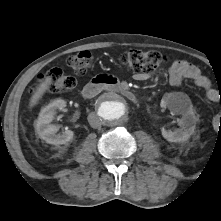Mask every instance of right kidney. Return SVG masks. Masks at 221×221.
<instances>
[{"label":"right kidney","instance_id":"1","mask_svg":"<svg viewBox=\"0 0 221 221\" xmlns=\"http://www.w3.org/2000/svg\"><path fill=\"white\" fill-rule=\"evenodd\" d=\"M66 102L62 99H56L46 107L41 109L39 117L35 122V131L38 136L49 144L62 145L71 141L74 137V132L66 130L63 134H56L59 127L50 124L54 119L57 109H63Z\"/></svg>","mask_w":221,"mask_h":221}]
</instances>
